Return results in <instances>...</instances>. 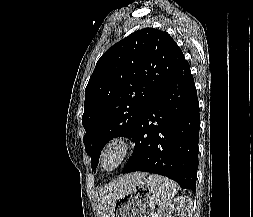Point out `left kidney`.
<instances>
[{
	"mask_svg": "<svg viewBox=\"0 0 253 217\" xmlns=\"http://www.w3.org/2000/svg\"><path fill=\"white\" fill-rule=\"evenodd\" d=\"M191 205L190 198L185 196L175 198L160 210L158 217H190Z\"/></svg>",
	"mask_w": 253,
	"mask_h": 217,
	"instance_id": "5707ae66",
	"label": "left kidney"
}]
</instances>
